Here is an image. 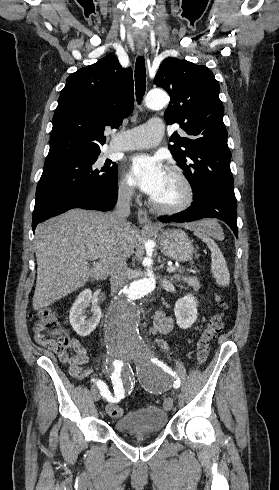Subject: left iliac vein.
<instances>
[{
  "instance_id": "left-iliac-vein-1",
  "label": "left iliac vein",
  "mask_w": 279,
  "mask_h": 490,
  "mask_svg": "<svg viewBox=\"0 0 279 490\" xmlns=\"http://www.w3.org/2000/svg\"><path fill=\"white\" fill-rule=\"evenodd\" d=\"M140 358H141V357H140L139 355H137V354H136V355H134V356H133V355H130V356H129V359H130V360H133V359H134V360H136V361H137V360H139ZM165 409H166L167 411H171V410L173 409V399H172V398L168 397V398L165 400Z\"/></svg>"
}]
</instances>
